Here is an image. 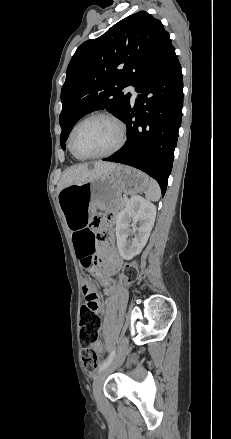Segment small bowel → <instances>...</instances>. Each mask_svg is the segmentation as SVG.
<instances>
[{
    "label": "small bowel",
    "mask_w": 231,
    "mask_h": 439,
    "mask_svg": "<svg viewBox=\"0 0 231 439\" xmlns=\"http://www.w3.org/2000/svg\"><path fill=\"white\" fill-rule=\"evenodd\" d=\"M100 223V219H97V225ZM72 230L73 247L80 265L84 268L83 262L91 254L97 252L103 259V271L100 275V281L105 291L110 292L114 285L112 277L122 265V260L118 257L112 243L113 234L110 233L105 241H97L93 231L88 228H75ZM84 292L86 295L84 305L92 307L99 313L101 311V302L90 280L85 281Z\"/></svg>",
    "instance_id": "obj_1"
}]
</instances>
